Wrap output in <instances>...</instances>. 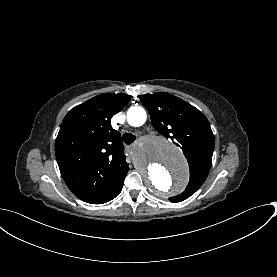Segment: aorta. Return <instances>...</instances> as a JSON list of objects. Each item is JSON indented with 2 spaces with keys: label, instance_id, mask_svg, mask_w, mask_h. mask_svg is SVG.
I'll use <instances>...</instances> for the list:
<instances>
[{
  "label": "aorta",
  "instance_id": "762f6f07",
  "mask_svg": "<svg viewBox=\"0 0 277 277\" xmlns=\"http://www.w3.org/2000/svg\"><path fill=\"white\" fill-rule=\"evenodd\" d=\"M146 111L133 106L127 112L131 126H141ZM133 161L149 191L156 197L168 196L184 189L188 182V166L182 152L169 141L149 136L139 140L133 152Z\"/></svg>",
  "mask_w": 277,
  "mask_h": 277
}]
</instances>
